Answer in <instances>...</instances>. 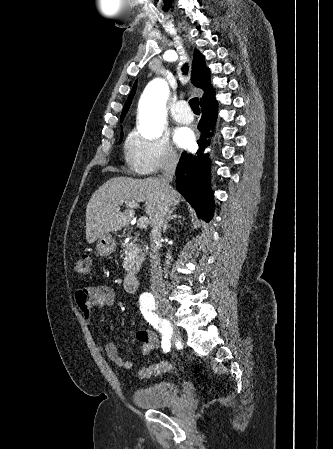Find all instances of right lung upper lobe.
<instances>
[{
    "label": "right lung upper lobe",
    "mask_w": 333,
    "mask_h": 449,
    "mask_svg": "<svg viewBox=\"0 0 333 449\" xmlns=\"http://www.w3.org/2000/svg\"><path fill=\"white\" fill-rule=\"evenodd\" d=\"M192 83L196 87L201 88L204 91V95L201 98V100L208 94L213 92V87L210 84V70L205 65L204 56L197 49H195L194 51L192 63ZM135 91H136V82L125 103V106L121 114V119L124 118V116L126 115L132 102V99L134 97Z\"/></svg>",
    "instance_id": "cb5924a9"
}]
</instances>
